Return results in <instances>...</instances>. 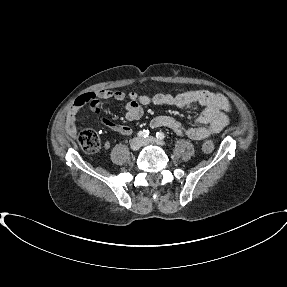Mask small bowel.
Wrapping results in <instances>:
<instances>
[{
  "instance_id": "c3829d8e",
  "label": "small bowel",
  "mask_w": 287,
  "mask_h": 287,
  "mask_svg": "<svg viewBox=\"0 0 287 287\" xmlns=\"http://www.w3.org/2000/svg\"><path fill=\"white\" fill-rule=\"evenodd\" d=\"M113 99L125 102V117L129 121L138 120L143 114V107L148 105H172L178 108H190L195 105L204 109L196 119V125L185 128L180 122L166 115L156 116L151 120V127H168L177 134H184L193 140H203L222 131L228 122L227 112L230 105L226 97L221 94L203 90H192L177 95L158 93L153 96L140 95L135 91L125 93L107 89L89 92L78 96L70 109L65 130L70 136L77 133L76 117L85 105H89L94 114L101 113V100ZM102 123L109 129L121 134L130 135L132 129L129 126L120 125L107 117L101 118ZM104 147L108 149L110 144L106 142Z\"/></svg>"
}]
</instances>
